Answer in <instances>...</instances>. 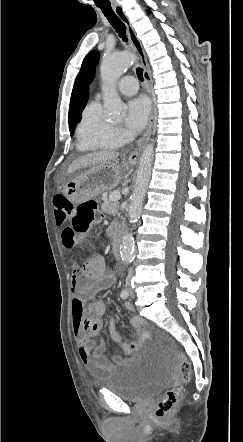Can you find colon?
Segmentation results:
<instances>
[{"label":"colon","instance_id":"5ec220e1","mask_svg":"<svg viewBox=\"0 0 243 442\" xmlns=\"http://www.w3.org/2000/svg\"><path fill=\"white\" fill-rule=\"evenodd\" d=\"M53 206L57 226H63L69 222L61 234L62 243L68 249L78 245L93 223L103 226L104 222H113L116 219L113 213L99 214L97 204L93 200L74 207L65 195L58 194L53 197ZM175 355L179 363L181 379L183 382H188L191 378V364L182 352L176 351ZM180 396L181 392L177 388L167 390L157 404L156 416L159 419L170 417L178 406Z\"/></svg>","mask_w":243,"mask_h":442}]
</instances>
